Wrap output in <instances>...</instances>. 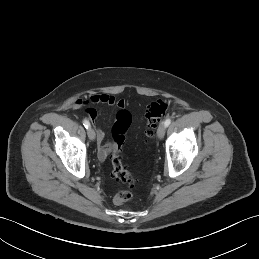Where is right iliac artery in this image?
<instances>
[{
  "mask_svg": "<svg viewBox=\"0 0 259 259\" xmlns=\"http://www.w3.org/2000/svg\"><path fill=\"white\" fill-rule=\"evenodd\" d=\"M83 125H84L85 128H87V129L90 127V123H89V121L86 120V119L83 120Z\"/></svg>",
  "mask_w": 259,
  "mask_h": 259,
  "instance_id": "obj_1",
  "label": "right iliac artery"
}]
</instances>
